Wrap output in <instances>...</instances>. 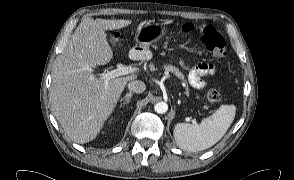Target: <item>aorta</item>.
Returning a JSON list of instances; mask_svg holds the SVG:
<instances>
[{
  "label": "aorta",
  "instance_id": "obj_1",
  "mask_svg": "<svg viewBox=\"0 0 294 180\" xmlns=\"http://www.w3.org/2000/svg\"><path fill=\"white\" fill-rule=\"evenodd\" d=\"M154 109L159 114L166 113L168 110V104L164 101L158 102L155 104Z\"/></svg>",
  "mask_w": 294,
  "mask_h": 180
}]
</instances>
